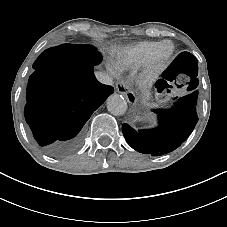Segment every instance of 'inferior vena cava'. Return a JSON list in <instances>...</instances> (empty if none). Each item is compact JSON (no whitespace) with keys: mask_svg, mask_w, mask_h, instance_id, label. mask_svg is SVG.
Segmentation results:
<instances>
[{"mask_svg":"<svg viewBox=\"0 0 227 227\" xmlns=\"http://www.w3.org/2000/svg\"><path fill=\"white\" fill-rule=\"evenodd\" d=\"M95 76L97 78V80L103 84H107V85H113V79L112 77H110L107 73L105 72H96Z\"/></svg>","mask_w":227,"mask_h":227,"instance_id":"602c4592","label":"inferior vena cava"}]
</instances>
